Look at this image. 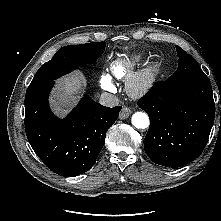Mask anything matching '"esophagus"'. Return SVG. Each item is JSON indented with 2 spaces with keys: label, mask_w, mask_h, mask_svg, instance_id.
Wrapping results in <instances>:
<instances>
[{
  "label": "esophagus",
  "mask_w": 221,
  "mask_h": 221,
  "mask_svg": "<svg viewBox=\"0 0 221 221\" xmlns=\"http://www.w3.org/2000/svg\"><path fill=\"white\" fill-rule=\"evenodd\" d=\"M131 114V110L128 107H123L120 114H119V119L125 120L128 118Z\"/></svg>",
  "instance_id": "obj_1"
}]
</instances>
